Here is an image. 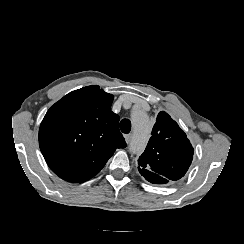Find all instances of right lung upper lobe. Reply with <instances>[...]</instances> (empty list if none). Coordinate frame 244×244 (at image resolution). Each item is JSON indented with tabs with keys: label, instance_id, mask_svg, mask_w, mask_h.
Masks as SVG:
<instances>
[{
	"label": "right lung upper lobe",
	"instance_id": "1",
	"mask_svg": "<svg viewBox=\"0 0 244 244\" xmlns=\"http://www.w3.org/2000/svg\"><path fill=\"white\" fill-rule=\"evenodd\" d=\"M112 101L113 95L92 85L70 92L48 110L40 125L39 146L60 178L85 182L117 148L126 147Z\"/></svg>",
	"mask_w": 244,
	"mask_h": 244
}]
</instances>
